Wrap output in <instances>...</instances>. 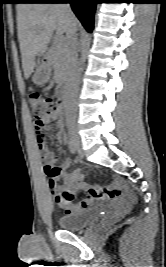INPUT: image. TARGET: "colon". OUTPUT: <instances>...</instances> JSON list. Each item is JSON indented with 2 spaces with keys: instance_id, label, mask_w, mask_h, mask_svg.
Returning <instances> with one entry per match:
<instances>
[{
  "instance_id": "obj_1",
  "label": "colon",
  "mask_w": 166,
  "mask_h": 267,
  "mask_svg": "<svg viewBox=\"0 0 166 267\" xmlns=\"http://www.w3.org/2000/svg\"><path fill=\"white\" fill-rule=\"evenodd\" d=\"M29 103L32 107L34 123L37 127L38 141L39 144L43 146L45 142V129L43 126V118L44 116L51 114L56 110L57 103L53 98L49 96H44L39 92L30 93ZM44 170L49 178H54L58 174L56 167H54L49 161L45 162ZM62 197L66 201H71L73 195L70 192L65 191L62 193Z\"/></svg>"
}]
</instances>
